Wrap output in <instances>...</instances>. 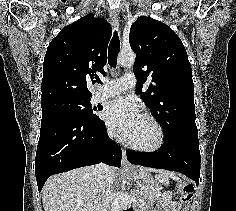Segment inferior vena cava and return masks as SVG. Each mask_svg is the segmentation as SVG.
I'll use <instances>...</instances> for the list:
<instances>
[{"instance_id": "inferior-vena-cava-1", "label": "inferior vena cava", "mask_w": 236, "mask_h": 211, "mask_svg": "<svg viewBox=\"0 0 236 211\" xmlns=\"http://www.w3.org/2000/svg\"><path fill=\"white\" fill-rule=\"evenodd\" d=\"M109 136L113 137V132H109ZM97 181V192L94 200L93 211H108L111 195V184L108 179V166L100 163L94 168Z\"/></svg>"}]
</instances>
